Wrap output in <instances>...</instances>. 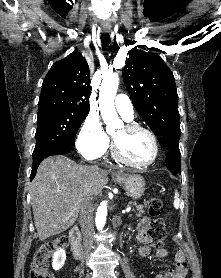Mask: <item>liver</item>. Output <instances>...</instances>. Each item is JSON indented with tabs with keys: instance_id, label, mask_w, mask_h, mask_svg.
I'll list each match as a JSON object with an SVG mask.
<instances>
[{
	"instance_id": "obj_1",
	"label": "liver",
	"mask_w": 221,
	"mask_h": 278,
	"mask_svg": "<svg viewBox=\"0 0 221 278\" xmlns=\"http://www.w3.org/2000/svg\"><path fill=\"white\" fill-rule=\"evenodd\" d=\"M107 183L105 170L79 165L65 156L43 160L31 184L39 239L44 241L69 229L77 220L83 202L99 195Z\"/></svg>"
}]
</instances>
